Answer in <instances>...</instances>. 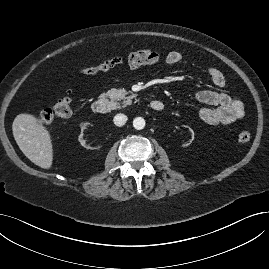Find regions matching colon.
<instances>
[{
    "mask_svg": "<svg viewBox=\"0 0 269 269\" xmlns=\"http://www.w3.org/2000/svg\"><path fill=\"white\" fill-rule=\"evenodd\" d=\"M72 114V102L70 97L65 96L57 100L52 107L43 111L38 116V121L45 127H52L57 119L68 118ZM251 138V129L244 126L238 133V142L247 143Z\"/></svg>",
    "mask_w": 269,
    "mask_h": 269,
    "instance_id": "5ec220e1",
    "label": "colon"
}]
</instances>
